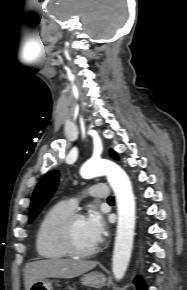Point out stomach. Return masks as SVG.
<instances>
[{
  "label": "stomach",
  "instance_id": "stomach-1",
  "mask_svg": "<svg viewBox=\"0 0 187 290\" xmlns=\"http://www.w3.org/2000/svg\"><path fill=\"white\" fill-rule=\"evenodd\" d=\"M81 283L88 287L101 288L106 284V277L99 272H91L81 277ZM30 290H52L51 281L42 279L35 282Z\"/></svg>",
  "mask_w": 187,
  "mask_h": 290
}]
</instances>
